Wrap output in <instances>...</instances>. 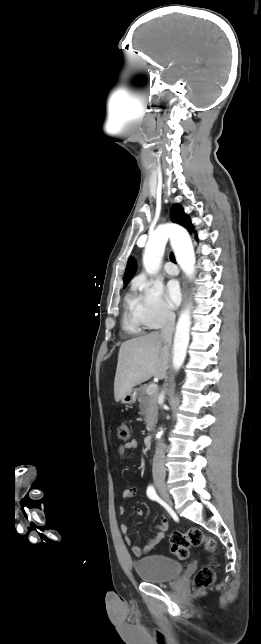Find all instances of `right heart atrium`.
<instances>
[{
	"label": "right heart atrium",
	"mask_w": 261,
	"mask_h": 644,
	"mask_svg": "<svg viewBox=\"0 0 261 644\" xmlns=\"http://www.w3.org/2000/svg\"><path fill=\"white\" fill-rule=\"evenodd\" d=\"M134 287L138 292L137 312L146 327L157 329L174 321V313L165 300L161 285L139 277L135 280Z\"/></svg>",
	"instance_id": "1"
}]
</instances>
